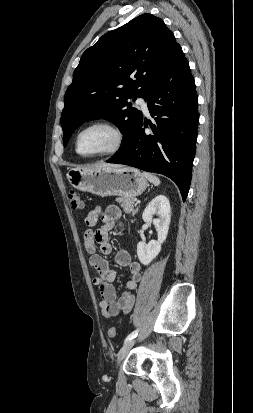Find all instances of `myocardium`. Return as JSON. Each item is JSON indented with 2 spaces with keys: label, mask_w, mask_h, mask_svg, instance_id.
<instances>
[{
  "label": "myocardium",
  "mask_w": 253,
  "mask_h": 413,
  "mask_svg": "<svg viewBox=\"0 0 253 413\" xmlns=\"http://www.w3.org/2000/svg\"><path fill=\"white\" fill-rule=\"evenodd\" d=\"M92 127H104L110 130L114 136V142L108 149L102 152L95 153V154H88V155L82 154L79 151V147H78L79 138L84 131ZM124 143H125L124 131L121 129V127L118 124L108 119H97V120L87 123L86 125H84L78 130L75 136V141H74L76 153L84 158H96V157H103V156L115 154L123 147Z\"/></svg>",
  "instance_id": "1"
}]
</instances>
